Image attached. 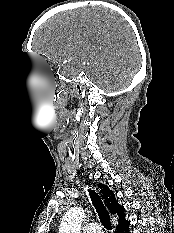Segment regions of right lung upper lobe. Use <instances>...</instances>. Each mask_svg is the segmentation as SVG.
Returning <instances> with one entry per match:
<instances>
[{
	"instance_id": "right-lung-upper-lobe-1",
	"label": "right lung upper lobe",
	"mask_w": 174,
	"mask_h": 233,
	"mask_svg": "<svg viewBox=\"0 0 174 233\" xmlns=\"http://www.w3.org/2000/svg\"><path fill=\"white\" fill-rule=\"evenodd\" d=\"M98 186L100 188L101 196L105 200V205L107 206L109 211L112 214L118 215L119 217L116 230L128 225L129 222L125 219V209L117 203L113 191H111L108 186L102 183H99Z\"/></svg>"
}]
</instances>
